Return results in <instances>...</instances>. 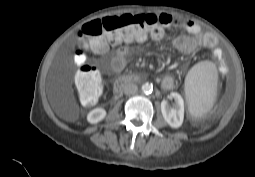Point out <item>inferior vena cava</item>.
Returning <instances> with one entry per match:
<instances>
[{"mask_svg":"<svg viewBox=\"0 0 255 177\" xmlns=\"http://www.w3.org/2000/svg\"><path fill=\"white\" fill-rule=\"evenodd\" d=\"M138 91V87L135 84L129 83L124 86V93L126 95H133Z\"/></svg>","mask_w":255,"mask_h":177,"instance_id":"obj_1","label":"inferior vena cava"}]
</instances>
